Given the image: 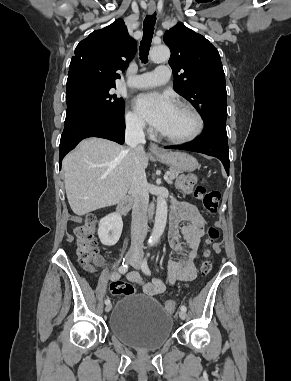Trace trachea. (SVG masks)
Returning <instances> with one entry per match:
<instances>
[{"label":"trachea","mask_w":291,"mask_h":381,"mask_svg":"<svg viewBox=\"0 0 291 381\" xmlns=\"http://www.w3.org/2000/svg\"><path fill=\"white\" fill-rule=\"evenodd\" d=\"M156 22V13L146 16L143 23V39L141 41L140 49V59L143 63L148 61V53L151 46V40L153 36L154 26Z\"/></svg>","instance_id":"3493384b"}]
</instances>
